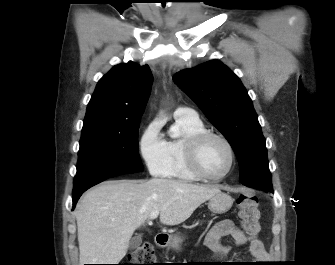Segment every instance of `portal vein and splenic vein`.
I'll list each match as a JSON object with an SVG mask.
<instances>
[{
  "label": "portal vein and splenic vein",
  "mask_w": 335,
  "mask_h": 265,
  "mask_svg": "<svg viewBox=\"0 0 335 265\" xmlns=\"http://www.w3.org/2000/svg\"><path fill=\"white\" fill-rule=\"evenodd\" d=\"M159 213H160V211H158V210L153 211V212L150 214L149 218H148L149 221L151 222L152 220H154L155 218H157L158 215H159Z\"/></svg>",
  "instance_id": "1"
}]
</instances>
